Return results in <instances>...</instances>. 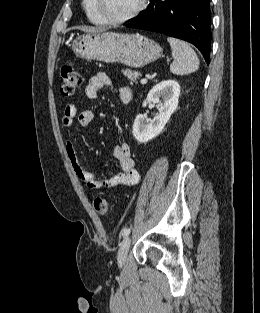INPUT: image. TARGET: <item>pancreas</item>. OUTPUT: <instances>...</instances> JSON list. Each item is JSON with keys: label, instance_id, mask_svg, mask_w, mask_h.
Segmentation results:
<instances>
[{"label": "pancreas", "instance_id": "obj_1", "mask_svg": "<svg viewBox=\"0 0 260 313\" xmlns=\"http://www.w3.org/2000/svg\"><path fill=\"white\" fill-rule=\"evenodd\" d=\"M123 75L130 80V84L137 83V80L141 77V73L138 71H132L130 69L122 70Z\"/></svg>", "mask_w": 260, "mask_h": 313}]
</instances>
